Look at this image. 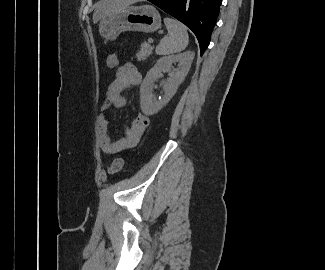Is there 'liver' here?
Returning a JSON list of instances; mask_svg holds the SVG:
<instances>
[{"mask_svg": "<svg viewBox=\"0 0 325 270\" xmlns=\"http://www.w3.org/2000/svg\"><path fill=\"white\" fill-rule=\"evenodd\" d=\"M130 3V0H100L95 5L93 23L96 24L99 20L107 15H110L119 9L128 7Z\"/></svg>", "mask_w": 325, "mask_h": 270, "instance_id": "obj_1", "label": "liver"}]
</instances>
